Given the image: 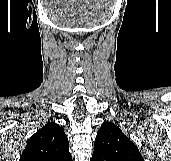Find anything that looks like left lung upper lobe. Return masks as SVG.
Listing matches in <instances>:
<instances>
[{
	"mask_svg": "<svg viewBox=\"0 0 171 161\" xmlns=\"http://www.w3.org/2000/svg\"><path fill=\"white\" fill-rule=\"evenodd\" d=\"M92 161H144L136 145L112 122L101 126L94 143Z\"/></svg>",
	"mask_w": 171,
	"mask_h": 161,
	"instance_id": "1",
	"label": "left lung upper lobe"
}]
</instances>
